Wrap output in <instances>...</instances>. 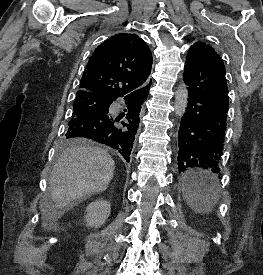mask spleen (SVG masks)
I'll return each mask as SVG.
<instances>
[{
	"label": "spleen",
	"instance_id": "1",
	"mask_svg": "<svg viewBox=\"0 0 263 275\" xmlns=\"http://www.w3.org/2000/svg\"><path fill=\"white\" fill-rule=\"evenodd\" d=\"M187 188L185 189L184 199L188 206L197 213H203L205 211L202 204H209L211 200H214V196L210 195L217 191L219 183L217 178L211 177L209 185L202 186L195 184L191 180H187Z\"/></svg>",
	"mask_w": 263,
	"mask_h": 275
}]
</instances>
